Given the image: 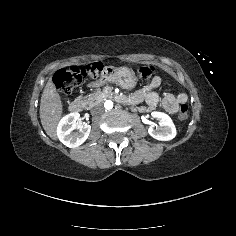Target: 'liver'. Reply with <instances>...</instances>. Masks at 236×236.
Here are the masks:
<instances>
[{
  "label": "liver",
  "mask_w": 236,
  "mask_h": 236,
  "mask_svg": "<svg viewBox=\"0 0 236 236\" xmlns=\"http://www.w3.org/2000/svg\"><path fill=\"white\" fill-rule=\"evenodd\" d=\"M63 109L62 98L50 77L41 96L40 120L44 131L53 140H58L57 127L63 117Z\"/></svg>",
  "instance_id": "6515ba94"
}]
</instances>
